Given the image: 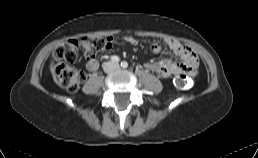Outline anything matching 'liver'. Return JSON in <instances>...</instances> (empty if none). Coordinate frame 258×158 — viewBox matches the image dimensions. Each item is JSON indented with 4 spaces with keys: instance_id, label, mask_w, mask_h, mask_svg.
Returning a JSON list of instances; mask_svg holds the SVG:
<instances>
[{
    "instance_id": "obj_1",
    "label": "liver",
    "mask_w": 258,
    "mask_h": 158,
    "mask_svg": "<svg viewBox=\"0 0 258 158\" xmlns=\"http://www.w3.org/2000/svg\"><path fill=\"white\" fill-rule=\"evenodd\" d=\"M52 74H53V72H52ZM53 79H54V81H55L56 83H58L56 77L54 76V74H53Z\"/></svg>"
}]
</instances>
